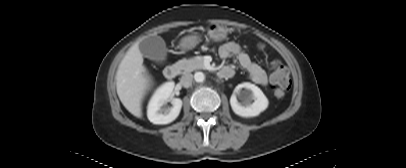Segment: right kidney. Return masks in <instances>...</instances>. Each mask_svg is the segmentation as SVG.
<instances>
[{
    "label": "right kidney",
    "instance_id": "1",
    "mask_svg": "<svg viewBox=\"0 0 406 168\" xmlns=\"http://www.w3.org/2000/svg\"><path fill=\"white\" fill-rule=\"evenodd\" d=\"M174 89V82H166L159 87L152 96L147 110V117L153 124H169L173 122L179 115L182 108V100L173 98L170 100V95ZM171 101V108H162V106Z\"/></svg>",
    "mask_w": 406,
    "mask_h": 168
}]
</instances>
